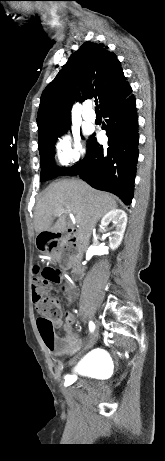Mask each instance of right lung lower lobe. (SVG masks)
<instances>
[{
    "instance_id": "98d812e1",
    "label": "right lung lower lobe",
    "mask_w": 165,
    "mask_h": 461,
    "mask_svg": "<svg viewBox=\"0 0 165 461\" xmlns=\"http://www.w3.org/2000/svg\"><path fill=\"white\" fill-rule=\"evenodd\" d=\"M108 147L99 145L91 135L83 161L63 170L60 175H77L93 188L117 195L126 205L133 198L138 160V120L133 94L102 111Z\"/></svg>"
}]
</instances>
